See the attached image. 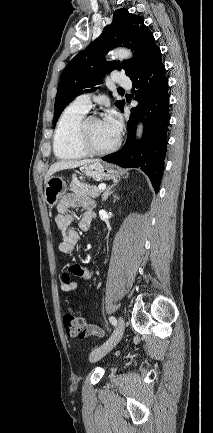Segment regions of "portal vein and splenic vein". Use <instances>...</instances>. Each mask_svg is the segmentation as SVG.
Masks as SVG:
<instances>
[{
	"mask_svg": "<svg viewBox=\"0 0 213 433\" xmlns=\"http://www.w3.org/2000/svg\"><path fill=\"white\" fill-rule=\"evenodd\" d=\"M98 189H99V190H105V189H106V185H105V184H100V185L98 186Z\"/></svg>",
	"mask_w": 213,
	"mask_h": 433,
	"instance_id": "1",
	"label": "portal vein and splenic vein"
}]
</instances>
